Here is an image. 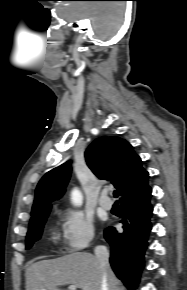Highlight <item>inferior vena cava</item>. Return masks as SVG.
Segmentation results:
<instances>
[{
  "mask_svg": "<svg viewBox=\"0 0 187 290\" xmlns=\"http://www.w3.org/2000/svg\"><path fill=\"white\" fill-rule=\"evenodd\" d=\"M94 253L101 267L103 268V276L101 282V290H108V280L106 268H109V251L105 246H96Z\"/></svg>",
  "mask_w": 187,
  "mask_h": 290,
  "instance_id": "inferior-vena-cava-1",
  "label": "inferior vena cava"
}]
</instances>
